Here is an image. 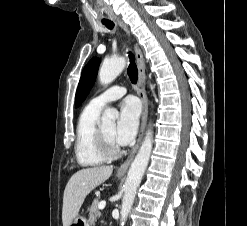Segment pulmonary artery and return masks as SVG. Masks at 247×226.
<instances>
[{"label": "pulmonary artery", "instance_id": "pulmonary-artery-1", "mask_svg": "<svg viewBox=\"0 0 247 226\" xmlns=\"http://www.w3.org/2000/svg\"><path fill=\"white\" fill-rule=\"evenodd\" d=\"M126 88L121 85H113L101 94L94 97L89 105H91L94 108L102 109L104 108L108 103L115 101L119 98H121L126 93Z\"/></svg>", "mask_w": 247, "mask_h": 226}]
</instances>
